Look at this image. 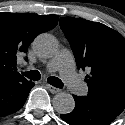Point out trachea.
<instances>
[{"label":"trachea","instance_id":"1","mask_svg":"<svg viewBox=\"0 0 125 125\" xmlns=\"http://www.w3.org/2000/svg\"><path fill=\"white\" fill-rule=\"evenodd\" d=\"M22 74L25 77H27V78H29L31 80H34V81L40 80V78H41V75H40L39 71H37V70H32V71H28V72H22ZM47 82L49 84H51L52 86H54V87L63 88L62 81L59 78H57V77H54V76L49 77L47 79Z\"/></svg>","mask_w":125,"mask_h":125}]
</instances>
